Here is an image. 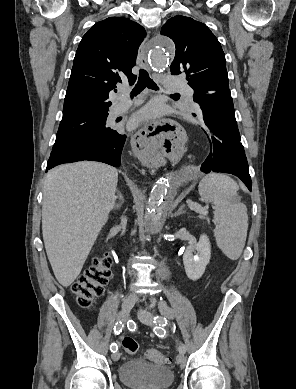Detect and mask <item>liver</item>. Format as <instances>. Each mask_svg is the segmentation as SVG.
I'll return each mask as SVG.
<instances>
[{
  "label": "liver",
  "mask_w": 296,
  "mask_h": 389,
  "mask_svg": "<svg viewBox=\"0 0 296 389\" xmlns=\"http://www.w3.org/2000/svg\"><path fill=\"white\" fill-rule=\"evenodd\" d=\"M117 169L82 161L48 172L43 189L42 233L58 282L70 286L80 274L116 200Z\"/></svg>",
  "instance_id": "6515ba94"
}]
</instances>
